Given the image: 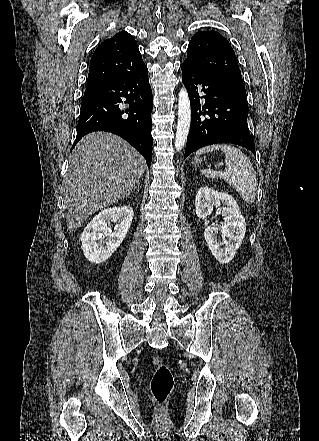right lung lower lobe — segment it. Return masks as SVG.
<instances>
[{"instance_id":"98d812e1","label":"right lung lower lobe","mask_w":319,"mask_h":441,"mask_svg":"<svg viewBox=\"0 0 319 441\" xmlns=\"http://www.w3.org/2000/svg\"><path fill=\"white\" fill-rule=\"evenodd\" d=\"M122 102L129 104V108L122 109ZM152 107V90L146 66L99 86L82 98L73 147L88 133L111 132L136 148L150 167L153 144Z\"/></svg>"}]
</instances>
